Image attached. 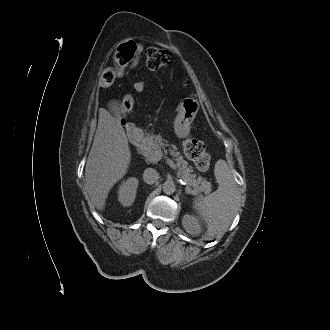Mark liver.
<instances>
[{"label":"liver","mask_w":330,"mask_h":330,"mask_svg":"<svg viewBox=\"0 0 330 330\" xmlns=\"http://www.w3.org/2000/svg\"><path fill=\"white\" fill-rule=\"evenodd\" d=\"M116 109L118 106L113 111ZM130 161L131 151L120 120L101 108L85 168L86 189L96 209H104L110 189L126 174Z\"/></svg>","instance_id":"1"}]
</instances>
